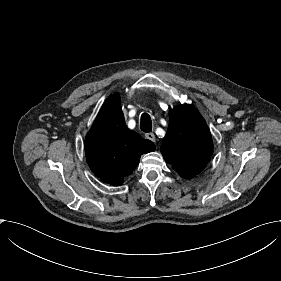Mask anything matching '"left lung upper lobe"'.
<instances>
[{
    "label": "left lung upper lobe",
    "instance_id": "left-lung-upper-lobe-1",
    "mask_svg": "<svg viewBox=\"0 0 281 281\" xmlns=\"http://www.w3.org/2000/svg\"><path fill=\"white\" fill-rule=\"evenodd\" d=\"M213 152L210 130L193 105H179L169 112V126L161 153L183 178L200 173Z\"/></svg>",
    "mask_w": 281,
    "mask_h": 281
}]
</instances>
